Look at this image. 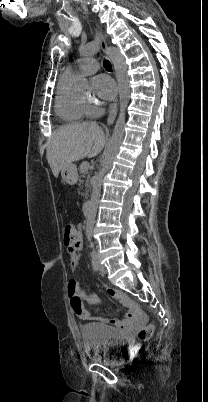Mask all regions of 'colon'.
Wrapping results in <instances>:
<instances>
[{
    "mask_svg": "<svg viewBox=\"0 0 208 402\" xmlns=\"http://www.w3.org/2000/svg\"><path fill=\"white\" fill-rule=\"evenodd\" d=\"M77 236V224L71 221H67L62 226V239L64 245L74 244ZM72 309L76 314H83V308L85 307L83 300L79 296H73L71 298ZM152 331V326L150 324H145L143 329L139 332L140 339H148L150 332Z\"/></svg>",
    "mask_w": 208,
    "mask_h": 402,
    "instance_id": "1",
    "label": "colon"
}]
</instances>
